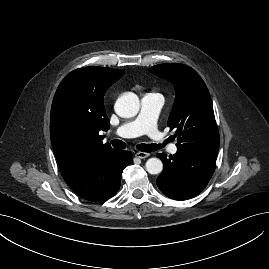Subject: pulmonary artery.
Returning a JSON list of instances; mask_svg holds the SVG:
<instances>
[{"instance_id":"e3ab8cb5","label":"pulmonary artery","mask_w":269,"mask_h":269,"mask_svg":"<svg viewBox=\"0 0 269 269\" xmlns=\"http://www.w3.org/2000/svg\"><path fill=\"white\" fill-rule=\"evenodd\" d=\"M164 99L159 93L145 94L141 99V106L138 115L119 126L114 134L118 137L129 138L147 134L155 139L162 147H167L171 154H175L178 148L170 144L161 132L157 129V116L163 106Z\"/></svg>"}]
</instances>
